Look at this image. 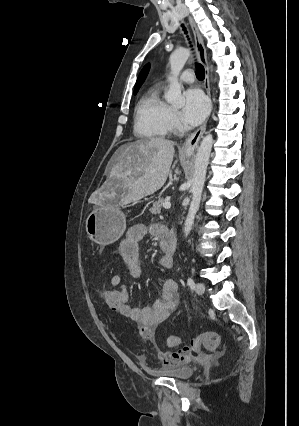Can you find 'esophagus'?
<instances>
[{
	"label": "esophagus",
	"mask_w": 299,
	"mask_h": 426,
	"mask_svg": "<svg viewBox=\"0 0 299 426\" xmlns=\"http://www.w3.org/2000/svg\"><path fill=\"white\" fill-rule=\"evenodd\" d=\"M188 21L191 26L196 50H197V56L201 64L204 66L205 69V79H204V88L209 96L211 98V90H210V77H209V65L207 61V54H206V48L203 42V38L198 30V27L192 17L188 16ZM211 110H212V102H211ZM207 120L195 131L193 132L183 143L181 148V153L184 155H191L193 154L199 144V141L203 135V133L206 130Z\"/></svg>",
	"instance_id": "esophagus-1"
}]
</instances>
